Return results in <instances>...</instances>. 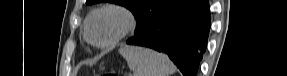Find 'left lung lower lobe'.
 <instances>
[{
    "label": "left lung lower lobe",
    "instance_id": "1",
    "mask_svg": "<svg viewBox=\"0 0 287 76\" xmlns=\"http://www.w3.org/2000/svg\"><path fill=\"white\" fill-rule=\"evenodd\" d=\"M210 28L208 0L173 2L145 28L127 40L163 52L184 76H196Z\"/></svg>",
    "mask_w": 287,
    "mask_h": 76
}]
</instances>
